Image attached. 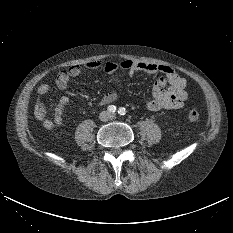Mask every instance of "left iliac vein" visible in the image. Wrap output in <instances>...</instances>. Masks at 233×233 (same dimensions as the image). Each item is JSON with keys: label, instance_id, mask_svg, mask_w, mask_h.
<instances>
[{"label": "left iliac vein", "instance_id": "4c4485c4", "mask_svg": "<svg viewBox=\"0 0 233 233\" xmlns=\"http://www.w3.org/2000/svg\"><path fill=\"white\" fill-rule=\"evenodd\" d=\"M110 117H111V118H114V117H115V115H114V114H111V115H110Z\"/></svg>", "mask_w": 233, "mask_h": 233}]
</instances>
